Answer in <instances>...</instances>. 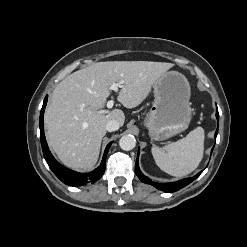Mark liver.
<instances>
[{"label":"liver","mask_w":247,"mask_h":247,"mask_svg":"<svg viewBox=\"0 0 247 247\" xmlns=\"http://www.w3.org/2000/svg\"><path fill=\"white\" fill-rule=\"evenodd\" d=\"M173 66L152 61L98 62L62 80L53 90L44 115L46 137L59 160L72 169L93 168L106 123L117 120L122 126L125 121L120 109L101 113L111 95L110 86L123 82L117 99L124 107L134 108Z\"/></svg>","instance_id":"6515ba94"}]
</instances>
